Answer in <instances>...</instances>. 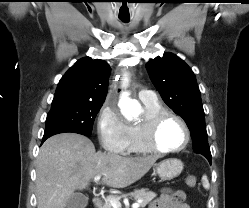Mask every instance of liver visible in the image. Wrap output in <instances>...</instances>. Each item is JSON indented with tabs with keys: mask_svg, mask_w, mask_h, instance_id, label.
Listing matches in <instances>:
<instances>
[{
	"mask_svg": "<svg viewBox=\"0 0 249 208\" xmlns=\"http://www.w3.org/2000/svg\"><path fill=\"white\" fill-rule=\"evenodd\" d=\"M158 157H122L96 152L90 139L61 133L47 139L36 160L37 208H65L75 190L85 189L91 179L125 188L141 179Z\"/></svg>",
	"mask_w": 249,
	"mask_h": 208,
	"instance_id": "6515ba94",
	"label": "liver"
}]
</instances>
